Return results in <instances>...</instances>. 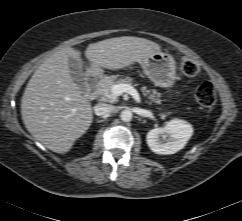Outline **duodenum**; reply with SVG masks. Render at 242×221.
<instances>
[{
    "instance_id": "410a0bca",
    "label": "duodenum",
    "mask_w": 242,
    "mask_h": 221,
    "mask_svg": "<svg viewBox=\"0 0 242 221\" xmlns=\"http://www.w3.org/2000/svg\"><path fill=\"white\" fill-rule=\"evenodd\" d=\"M101 80V75L91 72L88 76V89H87V97L93 99L97 95L98 83Z\"/></svg>"
}]
</instances>
